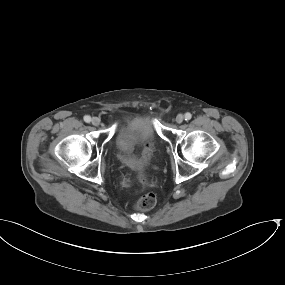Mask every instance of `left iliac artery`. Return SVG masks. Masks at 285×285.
Here are the masks:
<instances>
[{
    "label": "left iliac artery",
    "instance_id": "left-iliac-artery-1",
    "mask_svg": "<svg viewBox=\"0 0 285 285\" xmlns=\"http://www.w3.org/2000/svg\"><path fill=\"white\" fill-rule=\"evenodd\" d=\"M184 117H185V120H190L192 118V114L187 112V113H185Z\"/></svg>",
    "mask_w": 285,
    "mask_h": 285
}]
</instances>
